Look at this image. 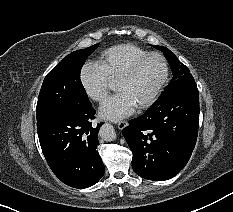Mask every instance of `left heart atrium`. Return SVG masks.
<instances>
[{
	"label": "left heart atrium",
	"mask_w": 233,
	"mask_h": 212,
	"mask_svg": "<svg viewBox=\"0 0 233 212\" xmlns=\"http://www.w3.org/2000/svg\"><path fill=\"white\" fill-rule=\"evenodd\" d=\"M136 106L124 92H118L107 99L100 107V116L110 120H119L131 115Z\"/></svg>",
	"instance_id": "obj_1"
}]
</instances>
